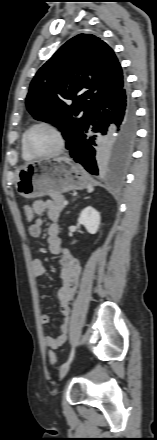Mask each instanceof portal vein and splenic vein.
Here are the masks:
<instances>
[{
	"mask_svg": "<svg viewBox=\"0 0 157 440\" xmlns=\"http://www.w3.org/2000/svg\"><path fill=\"white\" fill-rule=\"evenodd\" d=\"M63 204H64V205H67V204H68V201L64 200V201H63Z\"/></svg>",
	"mask_w": 157,
	"mask_h": 440,
	"instance_id": "obj_1",
	"label": "portal vein and splenic vein"
}]
</instances>
